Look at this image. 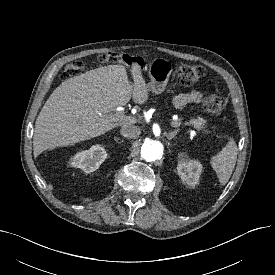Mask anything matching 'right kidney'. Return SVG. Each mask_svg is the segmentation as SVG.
Wrapping results in <instances>:
<instances>
[{"label":"right kidney","instance_id":"1","mask_svg":"<svg viewBox=\"0 0 275 275\" xmlns=\"http://www.w3.org/2000/svg\"><path fill=\"white\" fill-rule=\"evenodd\" d=\"M107 158L105 149L100 145H94L89 150L77 153L71 160V165L80 168L86 173L93 172Z\"/></svg>","mask_w":275,"mask_h":275}]
</instances>
